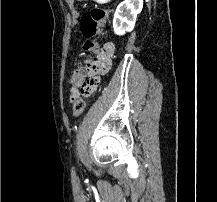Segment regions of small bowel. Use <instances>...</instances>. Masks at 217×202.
<instances>
[{
	"instance_id": "1",
	"label": "small bowel",
	"mask_w": 217,
	"mask_h": 202,
	"mask_svg": "<svg viewBox=\"0 0 217 202\" xmlns=\"http://www.w3.org/2000/svg\"><path fill=\"white\" fill-rule=\"evenodd\" d=\"M115 46L113 43L108 42L104 44L97 52V59L92 63L91 70L102 75L109 71L112 67V57L114 55ZM95 81L91 80L89 82V91L94 89Z\"/></svg>"
}]
</instances>
